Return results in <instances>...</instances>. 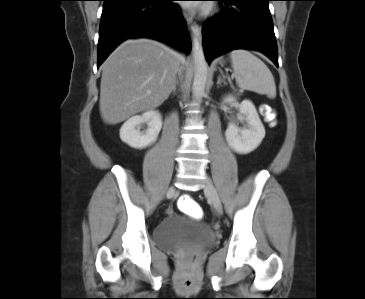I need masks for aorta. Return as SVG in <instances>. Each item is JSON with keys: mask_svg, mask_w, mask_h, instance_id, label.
<instances>
[{"mask_svg": "<svg viewBox=\"0 0 365 299\" xmlns=\"http://www.w3.org/2000/svg\"><path fill=\"white\" fill-rule=\"evenodd\" d=\"M192 52L195 66L192 92L194 99L199 101L204 94L208 78V66L202 45V33L199 27L193 28Z\"/></svg>", "mask_w": 365, "mask_h": 299, "instance_id": "1", "label": "aorta"}]
</instances>
